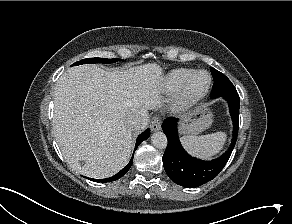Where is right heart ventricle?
<instances>
[{"mask_svg":"<svg viewBox=\"0 0 292 224\" xmlns=\"http://www.w3.org/2000/svg\"><path fill=\"white\" fill-rule=\"evenodd\" d=\"M195 71L191 68H177L169 71L162 80L164 90L170 93L177 92L185 80Z\"/></svg>","mask_w":292,"mask_h":224,"instance_id":"obj_1","label":"right heart ventricle"}]
</instances>
